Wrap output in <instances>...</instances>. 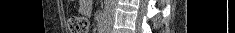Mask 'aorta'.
I'll use <instances>...</instances> for the list:
<instances>
[{
    "label": "aorta",
    "mask_w": 235,
    "mask_h": 33,
    "mask_svg": "<svg viewBox=\"0 0 235 33\" xmlns=\"http://www.w3.org/2000/svg\"><path fill=\"white\" fill-rule=\"evenodd\" d=\"M117 0H105L103 11V26L105 30H110L115 14Z\"/></svg>",
    "instance_id": "aorta-1"
}]
</instances>
